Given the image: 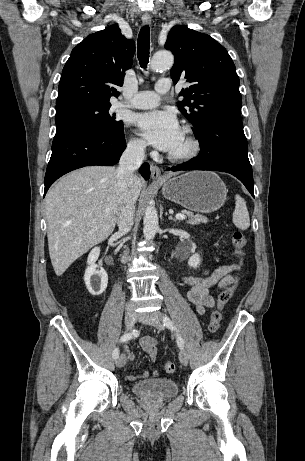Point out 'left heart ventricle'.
<instances>
[{
  "label": "left heart ventricle",
  "mask_w": 305,
  "mask_h": 461,
  "mask_svg": "<svg viewBox=\"0 0 305 461\" xmlns=\"http://www.w3.org/2000/svg\"><path fill=\"white\" fill-rule=\"evenodd\" d=\"M188 148V142H187V138L185 136V134L182 132L181 134V138L178 142V144L176 145V147L171 151V153H182L184 151H186Z\"/></svg>",
  "instance_id": "left-heart-ventricle-1"
}]
</instances>
